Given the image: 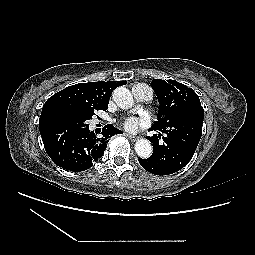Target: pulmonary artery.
Masks as SVG:
<instances>
[{"label":"pulmonary artery","mask_w":255,"mask_h":255,"mask_svg":"<svg viewBox=\"0 0 255 255\" xmlns=\"http://www.w3.org/2000/svg\"><path fill=\"white\" fill-rule=\"evenodd\" d=\"M132 94L138 102L151 101L153 98V91L146 84H136L132 88Z\"/></svg>","instance_id":"pulmonary-artery-1"}]
</instances>
